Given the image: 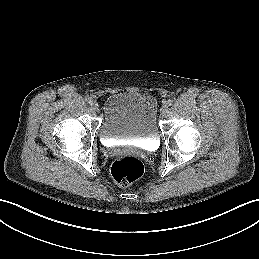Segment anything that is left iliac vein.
I'll list each match as a JSON object with an SVG mask.
<instances>
[{
  "mask_svg": "<svg viewBox=\"0 0 259 259\" xmlns=\"http://www.w3.org/2000/svg\"><path fill=\"white\" fill-rule=\"evenodd\" d=\"M168 112V107L165 105L161 108L160 113L162 116H165Z\"/></svg>",
  "mask_w": 259,
  "mask_h": 259,
  "instance_id": "left-iliac-vein-1",
  "label": "left iliac vein"
}]
</instances>
